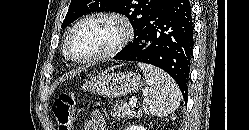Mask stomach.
<instances>
[{
	"label": "stomach",
	"mask_w": 249,
	"mask_h": 130,
	"mask_svg": "<svg viewBox=\"0 0 249 130\" xmlns=\"http://www.w3.org/2000/svg\"><path fill=\"white\" fill-rule=\"evenodd\" d=\"M143 82L134 72L110 73L108 71L87 80L82 88L107 98H117L136 92Z\"/></svg>",
	"instance_id": "1"
}]
</instances>
